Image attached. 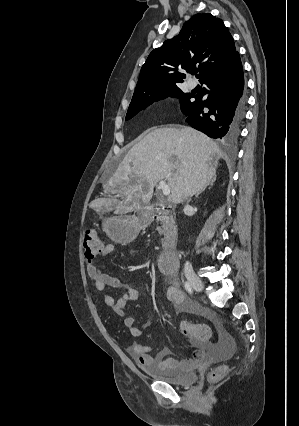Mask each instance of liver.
Wrapping results in <instances>:
<instances>
[{"label":"liver","mask_w":299,"mask_h":426,"mask_svg":"<svg viewBox=\"0 0 299 426\" xmlns=\"http://www.w3.org/2000/svg\"><path fill=\"white\" fill-rule=\"evenodd\" d=\"M222 155L213 140L190 127L154 128L133 145L104 185L105 192L124 199L99 201L126 214L148 204L155 185L167 180L172 202L180 204L209 185Z\"/></svg>","instance_id":"1"}]
</instances>
